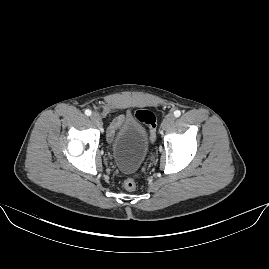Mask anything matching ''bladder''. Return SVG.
Here are the masks:
<instances>
[{"instance_id":"obj_1","label":"bladder","mask_w":269,"mask_h":269,"mask_svg":"<svg viewBox=\"0 0 269 269\" xmlns=\"http://www.w3.org/2000/svg\"><path fill=\"white\" fill-rule=\"evenodd\" d=\"M148 132L138 117L124 120L109 145L117 167L126 173L135 172L144 164L149 151Z\"/></svg>"}]
</instances>
